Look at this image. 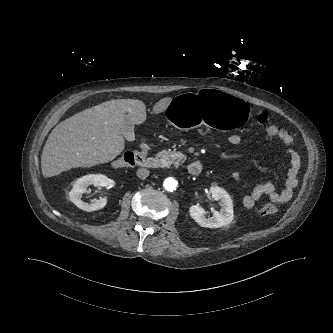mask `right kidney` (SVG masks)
<instances>
[{
    "label": "right kidney",
    "mask_w": 333,
    "mask_h": 333,
    "mask_svg": "<svg viewBox=\"0 0 333 333\" xmlns=\"http://www.w3.org/2000/svg\"><path fill=\"white\" fill-rule=\"evenodd\" d=\"M90 185L100 187H112L114 182L107 176L102 174H88L81 178H78L72 190L69 193L70 200L80 209L84 211H95L102 209L106 205V198H100L95 200L94 203H86L81 200L82 194L87 191Z\"/></svg>",
    "instance_id": "obj_1"
}]
</instances>
